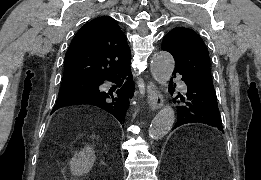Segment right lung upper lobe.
<instances>
[{
    "instance_id": "right-lung-upper-lobe-1",
    "label": "right lung upper lobe",
    "mask_w": 261,
    "mask_h": 180,
    "mask_svg": "<svg viewBox=\"0 0 261 180\" xmlns=\"http://www.w3.org/2000/svg\"><path fill=\"white\" fill-rule=\"evenodd\" d=\"M130 63V48L116 21L99 17L84 24L71 41L62 81H100Z\"/></svg>"
}]
</instances>
